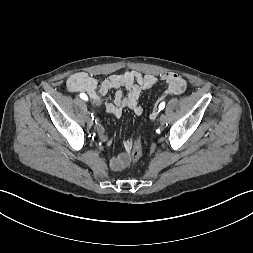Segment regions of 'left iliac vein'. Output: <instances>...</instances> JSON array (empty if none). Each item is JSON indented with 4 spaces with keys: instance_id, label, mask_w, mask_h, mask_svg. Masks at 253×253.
<instances>
[{
    "instance_id": "obj_1",
    "label": "left iliac vein",
    "mask_w": 253,
    "mask_h": 253,
    "mask_svg": "<svg viewBox=\"0 0 253 253\" xmlns=\"http://www.w3.org/2000/svg\"><path fill=\"white\" fill-rule=\"evenodd\" d=\"M159 121L161 124H164L167 121V117L164 114H162L159 118Z\"/></svg>"
}]
</instances>
